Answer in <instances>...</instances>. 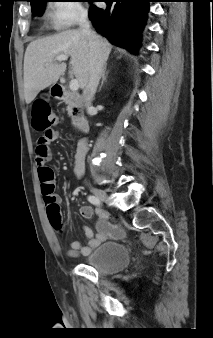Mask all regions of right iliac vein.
Returning <instances> with one entry per match:
<instances>
[{
	"instance_id": "63e3f726",
	"label": "right iliac vein",
	"mask_w": 213,
	"mask_h": 338,
	"mask_svg": "<svg viewBox=\"0 0 213 338\" xmlns=\"http://www.w3.org/2000/svg\"><path fill=\"white\" fill-rule=\"evenodd\" d=\"M90 190L98 199L102 201L108 200V195L104 191L94 188V187H91Z\"/></svg>"
}]
</instances>
